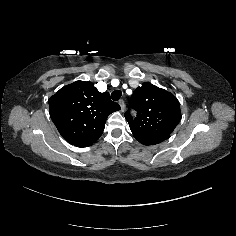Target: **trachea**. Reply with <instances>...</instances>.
<instances>
[{"mask_svg": "<svg viewBox=\"0 0 236 236\" xmlns=\"http://www.w3.org/2000/svg\"><path fill=\"white\" fill-rule=\"evenodd\" d=\"M122 96V91L121 90H115L111 93V98L114 101H118Z\"/></svg>", "mask_w": 236, "mask_h": 236, "instance_id": "obj_1", "label": "trachea"}]
</instances>
